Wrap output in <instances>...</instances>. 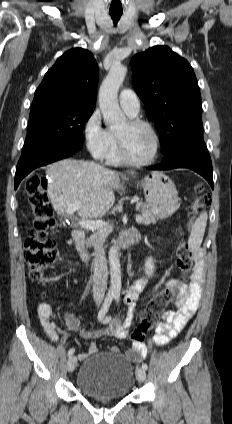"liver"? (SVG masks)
Masks as SVG:
<instances>
[{
	"instance_id": "1",
	"label": "liver",
	"mask_w": 232,
	"mask_h": 424,
	"mask_svg": "<svg viewBox=\"0 0 232 424\" xmlns=\"http://www.w3.org/2000/svg\"><path fill=\"white\" fill-rule=\"evenodd\" d=\"M48 196L58 215L80 202L78 215L85 220L105 215L115 202V190H124L119 174L88 161L63 159L47 168ZM134 175V172H131Z\"/></svg>"
}]
</instances>
